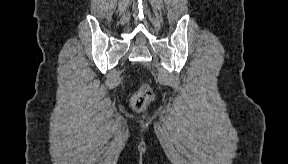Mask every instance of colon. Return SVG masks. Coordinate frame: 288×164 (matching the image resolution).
<instances>
[{
	"instance_id": "5ec220e1",
	"label": "colon",
	"mask_w": 288,
	"mask_h": 164,
	"mask_svg": "<svg viewBox=\"0 0 288 164\" xmlns=\"http://www.w3.org/2000/svg\"><path fill=\"white\" fill-rule=\"evenodd\" d=\"M152 90L150 87L142 83L139 89L134 93L131 99V107L136 112H142L146 109L147 105L151 101Z\"/></svg>"
}]
</instances>
